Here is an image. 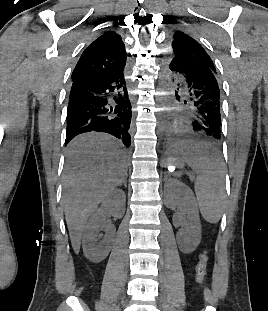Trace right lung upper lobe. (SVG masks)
<instances>
[{
	"instance_id": "obj_1",
	"label": "right lung upper lobe",
	"mask_w": 268,
	"mask_h": 311,
	"mask_svg": "<svg viewBox=\"0 0 268 311\" xmlns=\"http://www.w3.org/2000/svg\"><path fill=\"white\" fill-rule=\"evenodd\" d=\"M126 65V50L121 36L108 31L93 41L82 53L73 73L72 81L84 77L117 74Z\"/></svg>"
}]
</instances>
